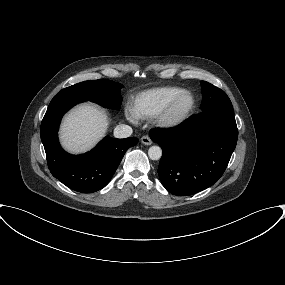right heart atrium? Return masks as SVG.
Instances as JSON below:
<instances>
[{
	"label": "right heart atrium",
	"mask_w": 285,
	"mask_h": 285,
	"mask_svg": "<svg viewBox=\"0 0 285 285\" xmlns=\"http://www.w3.org/2000/svg\"><path fill=\"white\" fill-rule=\"evenodd\" d=\"M126 116H127V118L128 119H130V120H134L135 119V116H134V114H133V112L132 111H127L126 112Z\"/></svg>",
	"instance_id": "d8ad5b80"
}]
</instances>
